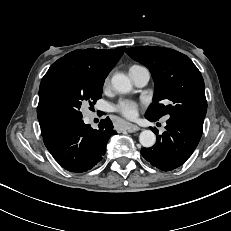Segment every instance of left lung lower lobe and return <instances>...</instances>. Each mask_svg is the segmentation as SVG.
<instances>
[{"mask_svg": "<svg viewBox=\"0 0 231 231\" xmlns=\"http://www.w3.org/2000/svg\"><path fill=\"white\" fill-rule=\"evenodd\" d=\"M151 122L153 118L145 116ZM166 131L158 135L156 128L151 130L157 135V142L150 148H142V156L156 168L171 171L184 164L191 156L202 135V128L181 119L166 121Z\"/></svg>", "mask_w": 231, "mask_h": 231, "instance_id": "0a47b994", "label": "left lung lower lobe"}]
</instances>
